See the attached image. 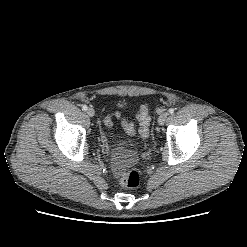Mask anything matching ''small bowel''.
<instances>
[{
	"label": "small bowel",
	"mask_w": 247,
	"mask_h": 247,
	"mask_svg": "<svg viewBox=\"0 0 247 247\" xmlns=\"http://www.w3.org/2000/svg\"><path fill=\"white\" fill-rule=\"evenodd\" d=\"M124 162L125 159L122 156H116L114 158L113 161V172L116 176H120L122 171H123V167H124Z\"/></svg>",
	"instance_id": "c3829d8e"
}]
</instances>
